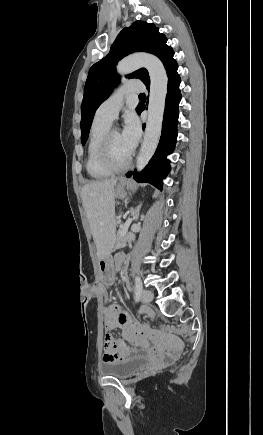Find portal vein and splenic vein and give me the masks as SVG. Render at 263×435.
<instances>
[{"label":"portal vein and splenic vein","mask_w":263,"mask_h":435,"mask_svg":"<svg viewBox=\"0 0 263 435\" xmlns=\"http://www.w3.org/2000/svg\"><path fill=\"white\" fill-rule=\"evenodd\" d=\"M131 223H132V219H128L125 223H124V225H123V227H122V230H121V235L123 236V235H125L126 233H127V231H128V229H129V226L131 225Z\"/></svg>","instance_id":"portal-vein-and-splenic-vein-1"}]
</instances>
